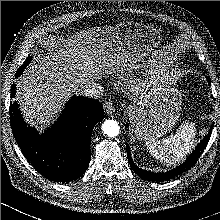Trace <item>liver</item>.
Masks as SVG:
<instances>
[{"label":"liver","instance_id":"liver-1","mask_svg":"<svg viewBox=\"0 0 220 220\" xmlns=\"http://www.w3.org/2000/svg\"><path fill=\"white\" fill-rule=\"evenodd\" d=\"M116 30L109 26L67 35L33 59L17 80V97L27 122L42 129L71 94L127 67L129 59Z\"/></svg>","mask_w":220,"mask_h":220}]
</instances>
